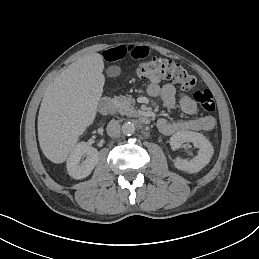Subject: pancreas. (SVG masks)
I'll use <instances>...</instances> for the list:
<instances>
[{
    "instance_id": "pancreas-1",
    "label": "pancreas",
    "mask_w": 259,
    "mask_h": 259,
    "mask_svg": "<svg viewBox=\"0 0 259 259\" xmlns=\"http://www.w3.org/2000/svg\"><path fill=\"white\" fill-rule=\"evenodd\" d=\"M115 102L118 106V112L121 115H127L129 117H138L139 113L134 109L132 104H134L135 100L131 96H118L115 97Z\"/></svg>"
}]
</instances>
